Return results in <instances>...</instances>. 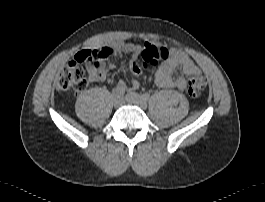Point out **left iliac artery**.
<instances>
[{
    "instance_id": "left-iliac-artery-1",
    "label": "left iliac artery",
    "mask_w": 265,
    "mask_h": 202,
    "mask_svg": "<svg viewBox=\"0 0 265 202\" xmlns=\"http://www.w3.org/2000/svg\"><path fill=\"white\" fill-rule=\"evenodd\" d=\"M142 98L144 99V100H149L150 99V94H148V93H143L142 94Z\"/></svg>"
}]
</instances>
